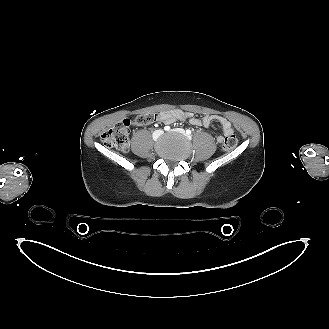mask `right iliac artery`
I'll return each mask as SVG.
<instances>
[{
  "label": "right iliac artery",
  "instance_id": "right-iliac-artery-1",
  "mask_svg": "<svg viewBox=\"0 0 329 329\" xmlns=\"http://www.w3.org/2000/svg\"><path fill=\"white\" fill-rule=\"evenodd\" d=\"M166 131L170 130V127L169 126H165L164 128Z\"/></svg>",
  "mask_w": 329,
  "mask_h": 329
}]
</instances>
